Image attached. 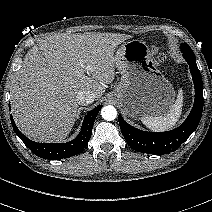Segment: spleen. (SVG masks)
<instances>
[{
    "label": "spleen",
    "instance_id": "3e777b00",
    "mask_svg": "<svg viewBox=\"0 0 212 212\" xmlns=\"http://www.w3.org/2000/svg\"><path fill=\"white\" fill-rule=\"evenodd\" d=\"M183 109V91L179 90L177 99L169 112L164 116H145L141 118L142 123L153 131H165L176 125Z\"/></svg>",
    "mask_w": 212,
    "mask_h": 212
}]
</instances>
